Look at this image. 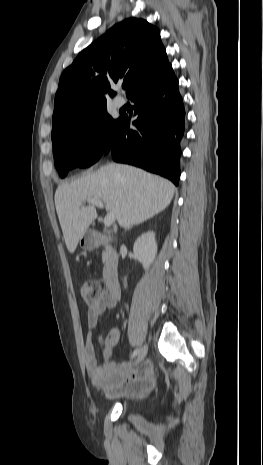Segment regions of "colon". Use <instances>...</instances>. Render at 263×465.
<instances>
[{"mask_svg": "<svg viewBox=\"0 0 263 465\" xmlns=\"http://www.w3.org/2000/svg\"><path fill=\"white\" fill-rule=\"evenodd\" d=\"M106 293V288L103 283L97 280H87L81 286V295L84 301L92 306L100 302ZM107 351H109V345L107 340L105 342Z\"/></svg>", "mask_w": 263, "mask_h": 465, "instance_id": "obj_1", "label": "colon"}]
</instances>
